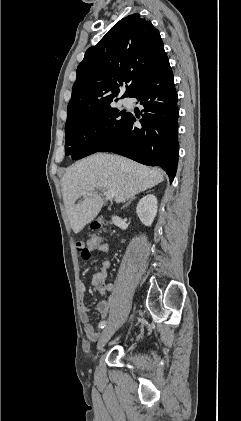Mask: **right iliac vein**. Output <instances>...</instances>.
<instances>
[{"instance_id":"obj_1","label":"right iliac vein","mask_w":241,"mask_h":421,"mask_svg":"<svg viewBox=\"0 0 241 421\" xmlns=\"http://www.w3.org/2000/svg\"><path fill=\"white\" fill-rule=\"evenodd\" d=\"M118 327H119V324H115V325H111V326L106 327L102 331V333L100 335V338L98 340V343H97V349L99 351L103 350L104 346L109 341V339L113 336V334L118 329Z\"/></svg>"}]
</instances>
